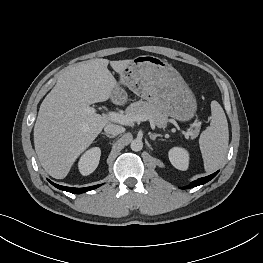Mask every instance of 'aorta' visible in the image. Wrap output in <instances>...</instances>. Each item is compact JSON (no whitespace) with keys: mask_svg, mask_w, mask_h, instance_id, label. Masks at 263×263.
<instances>
[{"mask_svg":"<svg viewBox=\"0 0 263 263\" xmlns=\"http://www.w3.org/2000/svg\"><path fill=\"white\" fill-rule=\"evenodd\" d=\"M130 147L133 151H140L143 148V142L140 139H134L132 140Z\"/></svg>","mask_w":263,"mask_h":263,"instance_id":"obj_1","label":"aorta"}]
</instances>
